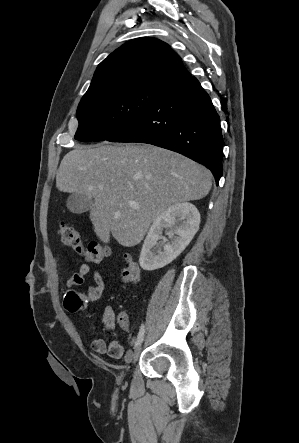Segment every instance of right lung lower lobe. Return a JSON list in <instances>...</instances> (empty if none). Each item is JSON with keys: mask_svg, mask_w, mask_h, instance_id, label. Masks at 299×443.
<instances>
[{"mask_svg": "<svg viewBox=\"0 0 299 443\" xmlns=\"http://www.w3.org/2000/svg\"><path fill=\"white\" fill-rule=\"evenodd\" d=\"M107 141L148 143L181 153L206 165L217 185L222 175L220 118L193 76L166 89L144 114Z\"/></svg>", "mask_w": 299, "mask_h": 443, "instance_id": "1", "label": "right lung lower lobe"}]
</instances>
